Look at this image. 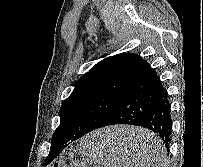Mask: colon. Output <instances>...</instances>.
Here are the masks:
<instances>
[{
  "instance_id": "colon-1",
  "label": "colon",
  "mask_w": 203,
  "mask_h": 167,
  "mask_svg": "<svg viewBox=\"0 0 203 167\" xmlns=\"http://www.w3.org/2000/svg\"><path fill=\"white\" fill-rule=\"evenodd\" d=\"M53 167H98L91 160L70 150L62 155Z\"/></svg>"
}]
</instances>
